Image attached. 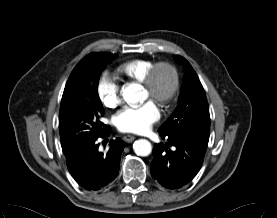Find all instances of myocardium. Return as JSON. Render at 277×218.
Masks as SVG:
<instances>
[{
	"label": "myocardium",
	"instance_id": "f54148a6",
	"mask_svg": "<svg viewBox=\"0 0 277 218\" xmlns=\"http://www.w3.org/2000/svg\"><path fill=\"white\" fill-rule=\"evenodd\" d=\"M179 83V70L175 63L170 60L157 62L151 77L145 81L151 94L160 102H166L172 98L178 90Z\"/></svg>",
	"mask_w": 277,
	"mask_h": 218
}]
</instances>
